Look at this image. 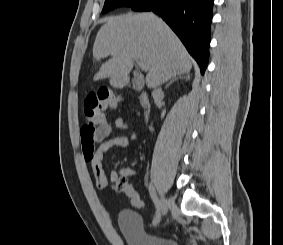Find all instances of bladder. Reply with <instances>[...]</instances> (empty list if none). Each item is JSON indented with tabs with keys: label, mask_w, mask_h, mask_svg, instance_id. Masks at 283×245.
Wrapping results in <instances>:
<instances>
[{
	"label": "bladder",
	"mask_w": 283,
	"mask_h": 245,
	"mask_svg": "<svg viewBox=\"0 0 283 245\" xmlns=\"http://www.w3.org/2000/svg\"><path fill=\"white\" fill-rule=\"evenodd\" d=\"M118 223L128 245H179L172 237L147 232L142 216L135 210L122 209Z\"/></svg>",
	"instance_id": "1"
}]
</instances>
